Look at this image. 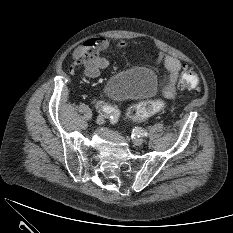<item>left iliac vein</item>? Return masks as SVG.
<instances>
[{
  "label": "left iliac vein",
  "mask_w": 233,
  "mask_h": 233,
  "mask_svg": "<svg viewBox=\"0 0 233 233\" xmlns=\"http://www.w3.org/2000/svg\"><path fill=\"white\" fill-rule=\"evenodd\" d=\"M132 141L135 145H142L144 143V139L141 136H134Z\"/></svg>",
  "instance_id": "left-iliac-vein-1"
}]
</instances>
